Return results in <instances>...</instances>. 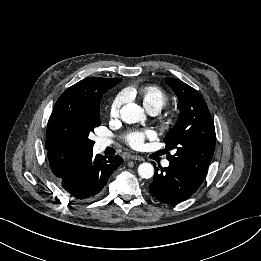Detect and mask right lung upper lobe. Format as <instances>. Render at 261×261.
<instances>
[{"label":"right lung upper lobe","instance_id":"cb5924a9","mask_svg":"<svg viewBox=\"0 0 261 261\" xmlns=\"http://www.w3.org/2000/svg\"><path fill=\"white\" fill-rule=\"evenodd\" d=\"M121 81L120 78H85L69 87L56 102L57 105L65 103L70 108L89 99L102 98V95ZM55 104V105H56ZM55 107V106H54ZM51 170L58 179L63 177L85 155L92 150L57 145H46Z\"/></svg>","mask_w":261,"mask_h":261}]
</instances>
